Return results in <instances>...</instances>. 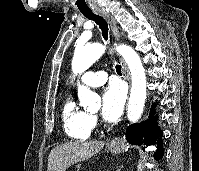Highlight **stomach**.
Masks as SVG:
<instances>
[{"label":"stomach","mask_w":199,"mask_h":171,"mask_svg":"<svg viewBox=\"0 0 199 171\" xmlns=\"http://www.w3.org/2000/svg\"><path fill=\"white\" fill-rule=\"evenodd\" d=\"M108 149L110 150V152L118 154L121 152L122 147L121 146H108Z\"/></svg>","instance_id":"stomach-1"}]
</instances>
